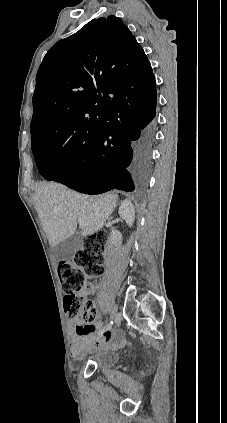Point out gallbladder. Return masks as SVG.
<instances>
[{
    "instance_id": "bac80fb5",
    "label": "gallbladder",
    "mask_w": 227,
    "mask_h": 423,
    "mask_svg": "<svg viewBox=\"0 0 227 423\" xmlns=\"http://www.w3.org/2000/svg\"><path fill=\"white\" fill-rule=\"evenodd\" d=\"M83 247V237L79 231H76L74 235H70L58 245L53 247V255L56 261H61V259H66V261H71L73 259L76 251Z\"/></svg>"
}]
</instances>
